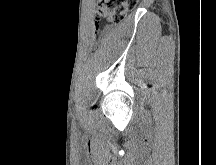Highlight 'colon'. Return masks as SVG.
I'll return each mask as SVG.
<instances>
[{
  "label": "colon",
  "instance_id": "5ec220e1",
  "mask_svg": "<svg viewBox=\"0 0 216 165\" xmlns=\"http://www.w3.org/2000/svg\"><path fill=\"white\" fill-rule=\"evenodd\" d=\"M98 21L120 22L139 0H99Z\"/></svg>",
  "mask_w": 216,
  "mask_h": 165
}]
</instances>
